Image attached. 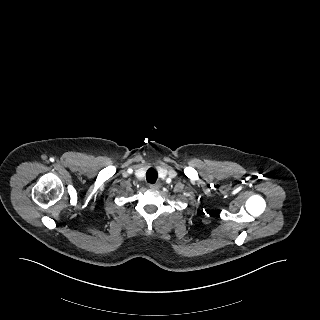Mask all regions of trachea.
<instances>
[{"instance_id": "3493384b", "label": "trachea", "mask_w": 320, "mask_h": 320, "mask_svg": "<svg viewBox=\"0 0 320 320\" xmlns=\"http://www.w3.org/2000/svg\"><path fill=\"white\" fill-rule=\"evenodd\" d=\"M158 178L157 172L154 169H149L146 173L147 182L153 184Z\"/></svg>"}]
</instances>
